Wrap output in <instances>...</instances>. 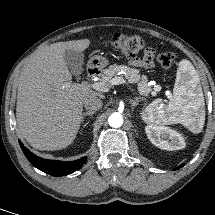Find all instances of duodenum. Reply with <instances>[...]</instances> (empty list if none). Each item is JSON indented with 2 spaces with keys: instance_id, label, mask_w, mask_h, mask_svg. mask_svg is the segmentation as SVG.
Returning <instances> with one entry per match:
<instances>
[{
  "instance_id": "1",
  "label": "duodenum",
  "mask_w": 215,
  "mask_h": 215,
  "mask_svg": "<svg viewBox=\"0 0 215 215\" xmlns=\"http://www.w3.org/2000/svg\"><path fill=\"white\" fill-rule=\"evenodd\" d=\"M99 73L98 69L94 66H90L88 69H87V75L89 77H95L97 76Z\"/></svg>"
}]
</instances>
